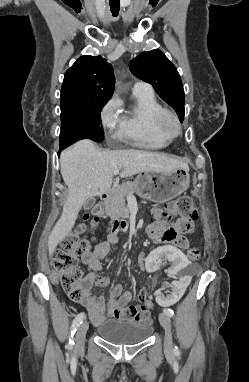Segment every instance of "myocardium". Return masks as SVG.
Instances as JSON below:
<instances>
[{
	"instance_id": "myocardium-1",
	"label": "myocardium",
	"mask_w": 249,
	"mask_h": 382,
	"mask_svg": "<svg viewBox=\"0 0 249 382\" xmlns=\"http://www.w3.org/2000/svg\"><path fill=\"white\" fill-rule=\"evenodd\" d=\"M159 126L171 138H176L182 133V122L178 115L171 110L163 109L159 115Z\"/></svg>"
}]
</instances>
